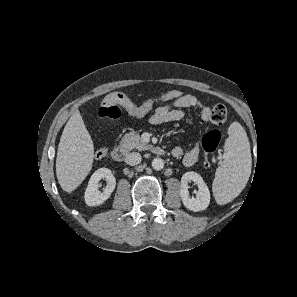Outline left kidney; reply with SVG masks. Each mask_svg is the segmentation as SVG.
I'll return each instance as SVG.
<instances>
[{"label": "left kidney", "instance_id": "obj_1", "mask_svg": "<svg viewBox=\"0 0 297 297\" xmlns=\"http://www.w3.org/2000/svg\"><path fill=\"white\" fill-rule=\"evenodd\" d=\"M193 181L198 186L196 198L189 196V183ZM180 196L186 208L192 211L205 210L210 203V191L208 186L203 181L202 177L193 171L186 172L181 178Z\"/></svg>", "mask_w": 297, "mask_h": 297}]
</instances>
